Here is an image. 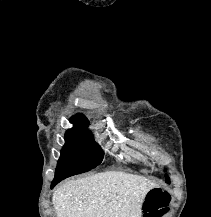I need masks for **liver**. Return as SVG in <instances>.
<instances>
[{"instance_id":"liver-1","label":"liver","mask_w":211,"mask_h":217,"mask_svg":"<svg viewBox=\"0 0 211 217\" xmlns=\"http://www.w3.org/2000/svg\"><path fill=\"white\" fill-rule=\"evenodd\" d=\"M157 185L125 172H102L69 180L53 193L57 217H141L148 192Z\"/></svg>"}]
</instances>
